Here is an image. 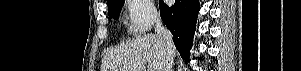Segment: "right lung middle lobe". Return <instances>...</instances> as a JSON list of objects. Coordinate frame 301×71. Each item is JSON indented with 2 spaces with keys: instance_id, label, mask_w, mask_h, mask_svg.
I'll use <instances>...</instances> for the list:
<instances>
[{
  "instance_id": "right-lung-middle-lobe-1",
  "label": "right lung middle lobe",
  "mask_w": 301,
  "mask_h": 71,
  "mask_svg": "<svg viewBox=\"0 0 301 71\" xmlns=\"http://www.w3.org/2000/svg\"><path fill=\"white\" fill-rule=\"evenodd\" d=\"M124 0H112L108 3V15L110 18L117 19L120 14Z\"/></svg>"
}]
</instances>
